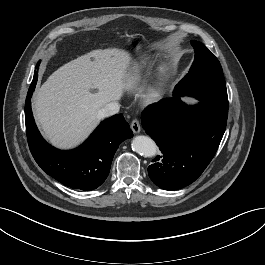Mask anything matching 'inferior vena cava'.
I'll return each instance as SVG.
<instances>
[{
  "instance_id": "1",
  "label": "inferior vena cava",
  "mask_w": 265,
  "mask_h": 265,
  "mask_svg": "<svg viewBox=\"0 0 265 265\" xmlns=\"http://www.w3.org/2000/svg\"><path fill=\"white\" fill-rule=\"evenodd\" d=\"M119 109L120 105L117 102H110L98 112V116L99 118L109 117L118 113Z\"/></svg>"
}]
</instances>
